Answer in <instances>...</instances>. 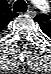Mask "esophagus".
Instances as JSON below:
<instances>
[{
	"mask_svg": "<svg viewBox=\"0 0 51 74\" xmlns=\"http://www.w3.org/2000/svg\"><path fill=\"white\" fill-rule=\"evenodd\" d=\"M27 14L28 15H33V14H35V12L34 11H31L30 9L27 11Z\"/></svg>",
	"mask_w": 51,
	"mask_h": 74,
	"instance_id": "esophagus-1",
	"label": "esophagus"
}]
</instances>
